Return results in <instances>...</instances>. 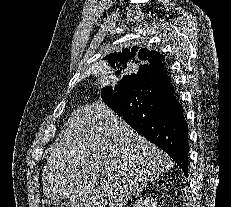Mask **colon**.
Returning a JSON list of instances; mask_svg holds the SVG:
<instances>
[{"mask_svg": "<svg viewBox=\"0 0 231 207\" xmlns=\"http://www.w3.org/2000/svg\"><path fill=\"white\" fill-rule=\"evenodd\" d=\"M43 207H61V206L57 203L46 202Z\"/></svg>", "mask_w": 231, "mask_h": 207, "instance_id": "5ec220e1", "label": "colon"}]
</instances>
